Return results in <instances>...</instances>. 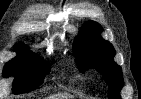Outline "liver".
I'll use <instances>...</instances> for the list:
<instances>
[{"instance_id": "obj_1", "label": "liver", "mask_w": 141, "mask_h": 99, "mask_svg": "<svg viewBox=\"0 0 141 99\" xmlns=\"http://www.w3.org/2000/svg\"><path fill=\"white\" fill-rule=\"evenodd\" d=\"M46 99H74V97L70 94L64 93V94H55Z\"/></svg>"}]
</instances>
